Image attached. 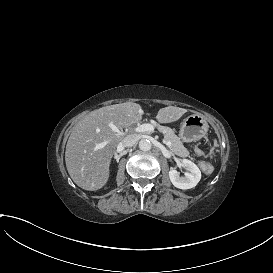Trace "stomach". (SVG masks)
Listing matches in <instances>:
<instances>
[{"label":"stomach","mask_w":273,"mask_h":273,"mask_svg":"<svg viewBox=\"0 0 273 273\" xmlns=\"http://www.w3.org/2000/svg\"><path fill=\"white\" fill-rule=\"evenodd\" d=\"M208 128V122L202 115L193 114L183 120L179 137L183 142L197 141L207 134Z\"/></svg>","instance_id":"0dacf381"}]
</instances>
